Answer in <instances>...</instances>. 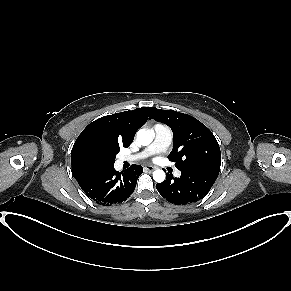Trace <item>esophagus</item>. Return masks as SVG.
I'll return each mask as SVG.
<instances>
[{"mask_svg":"<svg viewBox=\"0 0 291 291\" xmlns=\"http://www.w3.org/2000/svg\"><path fill=\"white\" fill-rule=\"evenodd\" d=\"M144 169L146 171L152 172L153 170L157 169V167L156 166H152V165H147V166L144 167Z\"/></svg>","mask_w":291,"mask_h":291,"instance_id":"esophagus-1","label":"esophagus"}]
</instances>
